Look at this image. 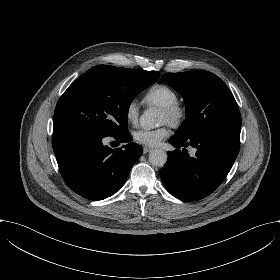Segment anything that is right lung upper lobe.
I'll return each mask as SVG.
<instances>
[{"label":"right lung upper lobe","instance_id":"right-lung-upper-lobe-1","mask_svg":"<svg viewBox=\"0 0 280 280\" xmlns=\"http://www.w3.org/2000/svg\"><path fill=\"white\" fill-rule=\"evenodd\" d=\"M142 73H144L146 76L152 78L155 82L159 79L160 73L157 71H143L140 70Z\"/></svg>","mask_w":280,"mask_h":280}]
</instances>
